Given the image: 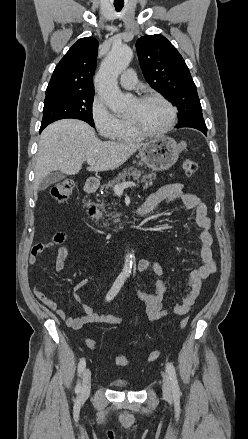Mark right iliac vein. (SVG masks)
I'll use <instances>...</instances> for the list:
<instances>
[{"label": "right iliac vein", "instance_id": "right-iliac-vein-1", "mask_svg": "<svg viewBox=\"0 0 248 439\" xmlns=\"http://www.w3.org/2000/svg\"><path fill=\"white\" fill-rule=\"evenodd\" d=\"M90 389H91V371L90 369L87 368L83 372L81 396L87 397L90 393Z\"/></svg>", "mask_w": 248, "mask_h": 439}]
</instances>
